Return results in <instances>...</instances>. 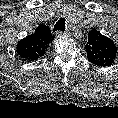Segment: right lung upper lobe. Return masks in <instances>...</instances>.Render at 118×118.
Wrapping results in <instances>:
<instances>
[{"instance_id":"1","label":"right lung upper lobe","mask_w":118,"mask_h":118,"mask_svg":"<svg viewBox=\"0 0 118 118\" xmlns=\"http://www.w3.org/2000/svg\"><path fill=\"white\" fill-rule=\"evenodd\" d=\"M54 39L51 30L46 25H39L35 32L20 40L17 53L25 60L34 61L45 54L49 43Z\"/></svg>"}]
</instances>
